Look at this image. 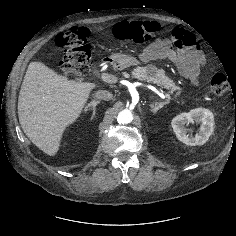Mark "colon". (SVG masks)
I'll use <instances>...</instances> for the list:
<instances>
[{"mask_svg":"<svg viewBox=\"0 0 236 236\" xmlns=\"http://www.w3.org/2000/svg\"><path fill=\"white\" fill-rule=\"evenodd\" d=\"M159 30L155 21H123L114 28L115 36L123 41L142 44L154 39ZM89 31L86 27L76 26L61 32L56 43L64 49L61 61L62 71L70 76L80 77L89 72L91 50L88 41ZM230 83L223 74H215L210 79V89L214 95L223 94Z\"/></svg>","mask_w":236,"mask_h":236,"instance_id":"obj_1","label":"colon"}]
</instances>
